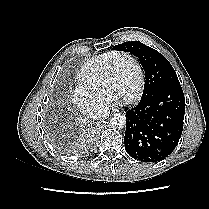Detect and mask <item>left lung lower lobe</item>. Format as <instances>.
Instances as JSON below:
<instances>
[{
	"mask_svg": "<svg viewBox=\"0 0 209 209\" xmlns=\"http://www.w3.org/2000/svg\"><path fill=\"white\" fill-rule=\"evenodd\" d=\"M184 113L185 100L179 82L142 95L140 102L126 111L124 144L128 154L143 162L168 157L182 134Z\"/></svg>",
	"mask_w": 209,
	"mask_h": 209,
	"instance_id": "obj_1",
	"label": "left lung lower lobe"
}]
</instances>
